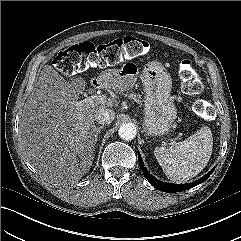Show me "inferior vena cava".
I'll return each instance as SVG.
<instances>
[{"label":"inferior vena cava","mask_w":241,"mask_h":241,"mask_svg":"<svg viewBox=\"0 0 241 241\" xmlns=\"http://www.w3.org/2000/svg\"><path fill=\"white\" fill-rule=\"evenodd\" d=\"M115 118V111L112 109H98L94 114V119L99 124H110Z\"/></svg>","instance_id":"inferior-vena-cava-1"}]
</instances>
